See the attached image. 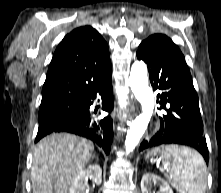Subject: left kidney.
Here are the masks:
<instances>
[{"label":"left kidney","mask_w":221,"mask_h":193,"mask_svg":"<svg viewBox=\"0 0 221 193\" xmlns=\"http://www.w3.org/2000/svg\"><path fill=\"white\" fill-rule=\"evenodd\" d=\"M153 183L158 184L160 187L159 192L157 193H173L172 189L170 188L167 182H165L163 179L152 173H146L142 177L141 179L142 193H151V187Z\"/></svg>","instance_id":"obj_1"}]
</instances>
